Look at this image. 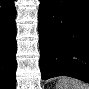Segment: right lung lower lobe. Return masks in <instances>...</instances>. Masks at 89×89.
<instances>
[{
    "label": "right lung lower lobe",
    "mask_w": 89,
    "mask_h": 89,
    "mask_svg": "<svg viewBox=\"0 0 89 89\" xmlns=\"http://www.w3.org/2000/svg\"><path fill=\"white\" fill-rule=\"evenodd\" d=\"M1 11L0 27V70L4 85L15 86V7L13 1H4Z\"/></svg>",
    "instance_id": "1"
}]
</instances>
